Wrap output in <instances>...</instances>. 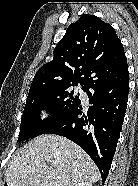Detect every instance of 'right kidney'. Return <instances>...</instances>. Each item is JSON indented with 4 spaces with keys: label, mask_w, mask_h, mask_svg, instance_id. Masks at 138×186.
I'll list each match as a JSON object with an SVG mask.
<instances>
[{
    "label": "right kidney",
    "mask_w": 138,
    "mask_h": 186,
    "mask_svg": "<svg viewBox=\"0 0 138 186\" xmlns=\"http://www.w3.org/2000/svg\"><path fill=\"white\" fill-rule=\"evenodd\" d=\"M75 186H92V184L89 182H81V183L76 184Z\"/></svg>",
    "instance_id": "ca27d5eb"
}]
</instances>
